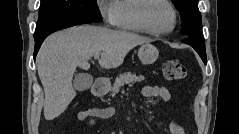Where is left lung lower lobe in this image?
<instances>
[{
    "label": "left lung lower lobe",
    "instance_id": "left-lung-lower-lobe-1",
    "mask_svg": "<svg viewBox=\"0 0 239 134\" xmlns=\"http://www.w3.org/2000/svg\"><path fill=\"white\" fill-rule=\"evenodd\" d=\"M183 42L192 46L198 52L203 62L207 63L204 39L188 38Z\"/></svg>",
    "mask_w": 239,
    "mask_h": 134
}]
</instances>
